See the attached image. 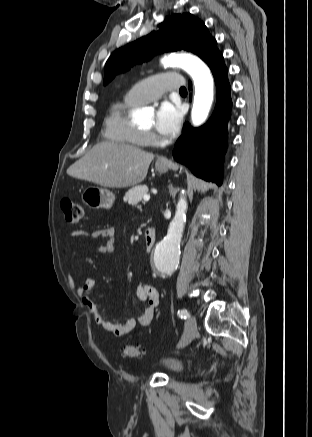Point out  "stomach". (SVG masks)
<instances>
[{"instance_id": "stomach-1", "label": "stomach", "mask_w": 312, "mask_h": 437, "mask_svg": "<svg viewBox=\"0 0 312 437\" xmlns=\"http://www.w3.org/2000/svg\"><path fill=\"white\" fill-rule=\"evenodd\" d=\"M170 165V162H156L155 168L159 173H166ZM81 199L91 209H110L115 202V195L106 188L88 186L83 190Z\"/></svg>"}]
</instances>
